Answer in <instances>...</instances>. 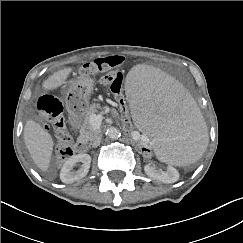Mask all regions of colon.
I'll use <instances>...</instances> for the list:
<instances>
[{"label": "colon", "mask_w": 243, "mask_h": 243, "mask_svg": "<svg viewBox=\"0 0 243 243\" xmlns=\"http://www.w3.org/2000/svg\"><path fill=\"white\" fill-rule=\"evenodd\" d=\"M124 62L125 58L120 55L98 58L85 63L80 68V74L82 76L100 75V82L110 87L117 98V114L119 115L120 123L124 127L121 130V135L124 138H129L132 135L131 128L134 126V121L131 119L130 112L127 109V101L123 98V74L121 67ZM37 108L42 123L50 126L57 135L59 141L58 159L60 161L68 159L74 154V147L72 138L66 130L62 102L56 96L43 95L38 99ZM135 151L138 154L146 155L149 160H154L157 157L156 150L148 149L143 142L136 143Z\"/></svg>", "instance_id": "obj_1"}]
</instances>
